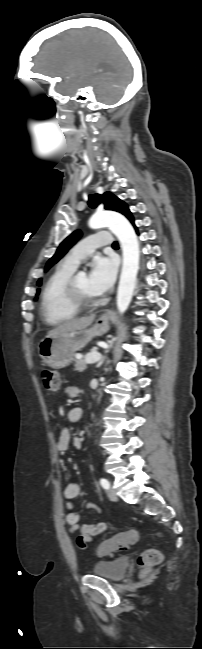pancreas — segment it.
<instances>
[{"instance_id":"cf45deb5","label":"pancreas","mask_w":202,"mask_h":649,"mask_svg":"<svg viewBox=\"0 0 202 649\" xmlns=\"http://www.w3.org/2000/svg\"><path fill=\"white\" fill-rule=\"evenodd\" d=\"M92 352H96L98 355H100V353H98L95 349H93ZM86 368H87V363H86L85 360H83V359L76 360V363H75V370L76 371L83 372Z\"/></svg>"}]
</instances>
